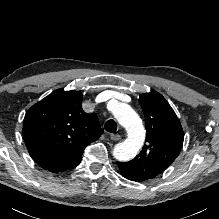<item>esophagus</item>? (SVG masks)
Here are the masks:
<instances>
[{"instance_id": "obj_1", "label": "esophagus", "mask_w": 219, "mask_h": 219, "mask_svg": "<svg viewBox=\"0 0 219 219\" xmlns=\"http://www.w3.org/2000/svg\"><path fill=\"white\" fill-rule=\"evenodd\" d=\"M110 139L112 141H119L121 139V136L119 134L111 133L110 134Z\"/></svg>"}]
</instances>
